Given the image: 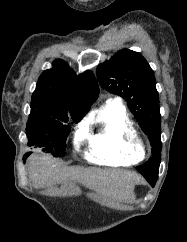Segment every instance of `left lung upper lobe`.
Returning a JSON list of instances; mask_svg holds the SVG:
<instances>
[{
  "label": "left lung upper lobe",
  "instance_id": "left-lung-upper-lobe-1",
  "mask_svg": "<svg viewBox=\"0 0 187 242\" xmlns=\"http://www.w3.org/2000/svg\"><path fill=\"white\" fill-rule=\"evenodd\" d=\"M97 77L104 89L126 100L140 127L149 136L152 157L136 169L143 176L158 177L162 149L161 115L153 70L140 53L123 49L98 65Z\"/></svg>",
  "mask_w": 187,
  "mask_h": 242
}]
</instances>
